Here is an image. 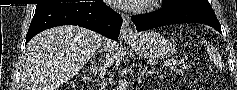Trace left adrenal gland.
I'll return each mask as SVG.
<instances>
[{"label": "left adrenal gland", "mask_w": 237, "mask_h": 90, "mask_svg": "<svg viewBox=\"0 0 237 90\" xmlns=\"http://www.w3.org/2000/svg\"><path fill=\"white\" fill-rule=\"evenodd\" d=\"M144 74H145V70H143L142 64H140L139 70H138V82H139V84H141V78H142V76H144Z\"/></svg>", "instance_id": "a2214340"}]
</instances>
